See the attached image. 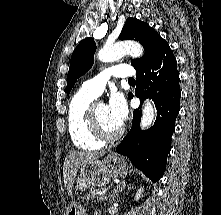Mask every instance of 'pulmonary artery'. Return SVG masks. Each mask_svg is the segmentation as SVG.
Returning <instances> with one entry per match:
<instances>
[{
  "label": "pulmonary artery",
  "mask_w": 221,
  "mask_h": 215,
  "mask_svg": "<svg viewBox=\"0 0 221 215\" xmlns=\"http://www.w3.org/2000/svg\"><path fill=\"white\" fill-rule=\"evenodd\" d=\"M135 75L130 65L120 64L103 70L97 76L84 82L82 90L98 97L104 90L105 84L110 77L132 78Z\"/></svg>",
  "instance_id": "1"
}]
</instances>
